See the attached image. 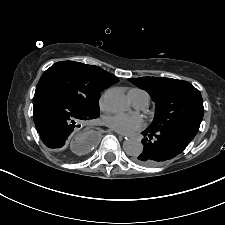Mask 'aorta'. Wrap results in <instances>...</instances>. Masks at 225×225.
<instances>
[{
	"label": "aorta",
	"mask_w": 225,
	"mask_h": 225,
	"mask_svg": "<svg viewBox=\"0 0 225 225\" xmlns=\"http://www.w3.org/2000/svg\"><path fill=\"white\" fill-rule=\"evenodd\" d=\"M104 102L106 107L114 113H121L129 108V101L120 88L107 90L104 94ZM123 149L126 154L137 156L142 152L143 145L138 139L130 138L123 142Z\"/></svg>",
	"instance_id": "obj_1"
}]
</instances>
